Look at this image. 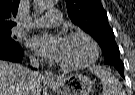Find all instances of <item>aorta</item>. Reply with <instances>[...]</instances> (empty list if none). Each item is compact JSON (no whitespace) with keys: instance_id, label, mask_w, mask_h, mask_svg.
<instances>
[{"instance_id":"obj_1","label":"aorta","mask_w":135,"mask_h":95,"mask_svg":"<svg viewBox=\"0 0 135 95\" xmlns=\"http://www.w3.org/2000/svg\"><path fill=\"white\" fill-rule=\"evenodd\" d=\"M54 2L53 0H36V8L38 10H44V9H48L51 6H53Z\"/></svg>"}]
</instances>
